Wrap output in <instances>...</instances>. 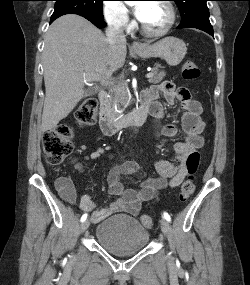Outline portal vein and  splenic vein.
<instances>
[{
    "label": "portal vein and splenic vein",
    "mask_w": 250,
    "mask_h": 285,
    "mask_svg": "<svg viewBox=\"0 0 250 285\" xmlns=\"http://www.w3.org/2000/svg\"><path fill=\"white\" fill-rule=\"evenodd\" d=\"M152 76H153L152 73H147V74L145 75L146 78H151ZM94 80H95V81H100V78H99V77H95ZM84 81H87V80L84 78Z\"/></svg>",
    "instance_id": "18ae733b"
}]
</instances>
